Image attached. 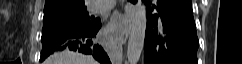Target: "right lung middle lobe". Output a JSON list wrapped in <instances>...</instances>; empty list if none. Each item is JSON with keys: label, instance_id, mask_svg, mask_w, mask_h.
Here are the masks:
<instances>
[{"label": "right lung middle lobe", "instance_id": "dd1d6c3e", "mask_svg": "<svg viewBox=\"0 0 242 64\" xmlns=\"http://www.w3.org/2000/svg\"><path fill=\"white\" fill-rule=\"evenodd\" d=\"M99 24L100 20L89 16L85 6L44 13L42 50L55 40L87 32Z\"/></svg>", "mask_w": 242, "mask_h": 64}]
</instances>
